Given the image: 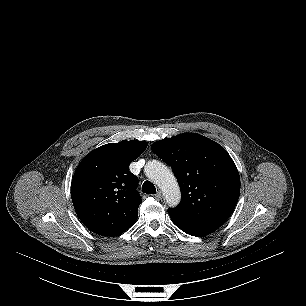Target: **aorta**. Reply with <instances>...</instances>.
Masks as SVG:
<instances>
[{"mask_svg": "<svg viewBox=\"0 0 306 306\" xmlns=\"http://www.w3.org/2000/svg\"><path fill=\"white\" fill-rule=\"evenodd\" d=\"M146 176L162 191L167 204L175 207L180 203L181 191L173 173L157 160L149 161L144 168Z\"/></svg>", "mask_w": 306, "mask_h": 306, "instance_id": "obj_1", "label": "aorta"}]
</instances>
